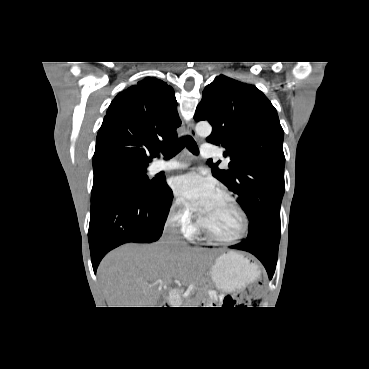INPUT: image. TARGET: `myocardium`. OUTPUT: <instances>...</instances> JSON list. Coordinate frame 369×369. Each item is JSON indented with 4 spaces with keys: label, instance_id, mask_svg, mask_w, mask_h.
I'll return each instance as SVG.
<instances>
[{
    "label": "myocardium",
    "instance_id": "f54148a6",
    "mask_svg": "<svg viewBox=\"0 0 369 369\" xmlns=\"http://www.w3.org/2000/svg\"><path fill=\"white\" fill-rule=\"evenodd\" d=\"M217 194H219L220 196L226 198L229 202H231L232 205L238 211V213L241 217V230H240V233L235 237H222V236H219V235L215 234L214 232H212L211 230H209L203 224V222L201 220V217H199L198 221H197V227H198L199 231L201 233H203L209 239H212V240H215V241H218V242H222V243H236V242H239V241L243 240L244 238H246V236L248 234V230H249V222H248V217H247V214H246L245 210L243 209L241 204L237 201V199L232 194H230L228 191L219 190V191H217Z\"/></svg>",
    "mask_w": 369,
    "mask_h": 369
}]
</instances>
